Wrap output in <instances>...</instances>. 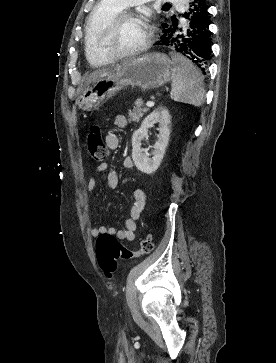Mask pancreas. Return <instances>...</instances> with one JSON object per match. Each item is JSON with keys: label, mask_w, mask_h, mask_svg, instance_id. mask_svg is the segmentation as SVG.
Here are the masks:
<instances>
[{"label": "pancreas", "mask_w": 276, "mask_h": 363, "mask_svg": "<svg viewBox=\"0 0 276 363\" xmlns=\"http://www.w3.org/2000/svg\"><path fill=\"white\" fill-rule=\"evenodd\" d=\"M149 109L143 107L142 99H138L132 110H129V117L132 121L138 122Z\"/></svg>", "instance_id": "1"}]
</instances>
